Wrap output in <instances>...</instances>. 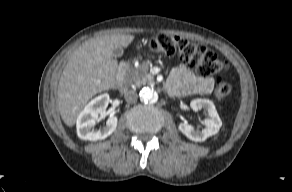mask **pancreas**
Returning a JSON list of instances; mask_svg holds the SVG:
<instances>
[{
  "label": "pancreas",
  "instance_id": "pancreas-1",
  "mask_svg": "<svg viewBox=\"0 0 292 192\" xmlns=\"http://www.w3.org/2000/svg\"><path fill=\"white\" fill-rule=\"evenodd\" d=\"M149 63L143 62L137 68L131 69L127 73V80L130 84L141 86L153 83V75L148 73Z\"/></svg>",
  "mask_w": 292,
  "mask_h": 192
}]
</instances>
